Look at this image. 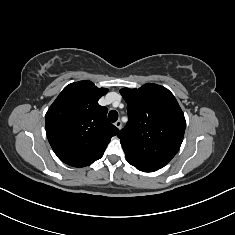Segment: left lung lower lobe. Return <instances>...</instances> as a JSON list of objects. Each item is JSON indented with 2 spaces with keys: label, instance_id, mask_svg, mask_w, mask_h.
Masks as SVG:
<instances>
[{
  "label": "left lung lower lobe",
  "instance_id": "left-lung-lower-lobe-1",
  "mask_svg": "<svg viewBox=\"0 0 235 235\" xmlns=\"http://www.w3.org/2000/svg\"><path fill=\"white\" fill-rule=\"evenodd\" d=\"M131 165H133L134 167H136L138 170L143 171V172H153L158 170L159 168L157 167H152L149 165H145L136 161H131V160H127Z\"/></svg>",
  "mask_w": 235,
  "mask_h": 235
}]
</instances>
